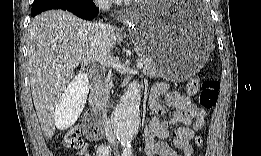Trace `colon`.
Segmentation results:
<instances>
[{
  "label": "colon",
  "instance_id": "colon-1",
  "mask_svg": "<svg viewBox=\"0 0 261 156\" xmlns=\"http://www.w3.org/2000/svg\"><path fill=\"white\" fill-rule=\"evenodd\" d=\"M220 84L216 79H207L202 84L197 77H192L187 84V91L189 95H196L199 93V102L202 108L210 110L215 107ZM85 135L89 138H99L103 134L102 128L96 123L89 121L85 127ZM62 141L66 147L73 149H80L84 142L82 137V130L78 126H73L66 130L62 137ZM197 147L203 145V138L197 136L194 140Z\"/></svg>",
  "mask_w": 261,
  "mask_h": 156
}]
</instances>
